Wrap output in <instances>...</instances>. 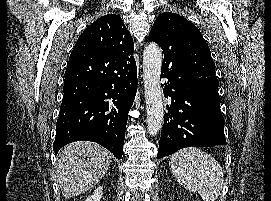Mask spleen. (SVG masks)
<instances>
[{
    "label": "spleen",
    "mask_w": 271,
    "mask_h": 201,
    "mask_svg": "<svg viewBox=\"0 0 271 201\" xmlns=\"http://www.w3.org/2000/svg\"><path fill=\"white\" fill-rule=\"evenodd\" d=\"M170 171L186 190L203 201H216L224 185V173L217 160L200 148L187 147L173 154Z\"/></svg>",
    "instance_id": "3e777b00"
}]
</instances>
